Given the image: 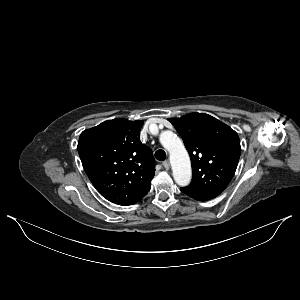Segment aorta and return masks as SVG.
Returning a JSON list of instances; mask_svg holds the SVG:
<instances>
[{"mask_svg":"<svg viewBox=\"0 0 300 300\" xmlns=\"http://www.w3.org/2000/svg\"><path fill=\"white\" fill-rule=\"evenodd\" d=\"M160 142L170 153V162L175 182L179 186H187L191 181L192 170L190 157L183 142L171 131L162 132Z\"/></svg>","mask_w":300,"mask_h":300,"instance_id":"1","label":"aorta"}]
</instances>
